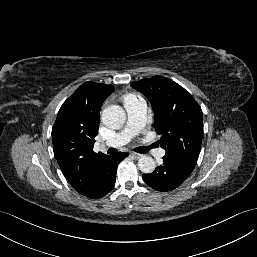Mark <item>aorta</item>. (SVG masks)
I'll return each instance as SVG.
<instances>
[{"label":"aorta","instance_id":"1","mask_svg":"<svg viewBox=\"0 0 257 257\" xmlns=\"http://www.w3.org/2000/svg\"><path fill=\"white\" fill-rule=\"evenodd\" d=\"M101 119L106 127L119 129L125 123L126 113L122 107L112 105L103 110ZM138 167L143 173L149 174L155 170L156 164L151 156H142L138 160Z\"/></svg>","mask_w":257,"mask_h":257}]
</instances>
